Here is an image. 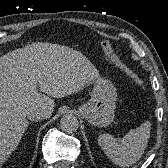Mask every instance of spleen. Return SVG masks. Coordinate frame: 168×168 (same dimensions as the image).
<instances>
[{
    "mask_svg": "<svg viewBox=\"0 0 168 168\" xmlns=\"http://www.w3.org/2000/svg\"><path fill=\"white\" fill-rule=\"evenodd\" d=\"M151 123L146 121L138 128L131 129L120 141L109 134L98 137V144L111 161L121 167H129L143 155L150 137Z\"/></svg>",
    "mask_w": 168,
    "mask_h": 168,
    "instance_id": "1",
    "label": "spleen"
}]
</instances>
